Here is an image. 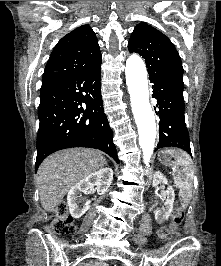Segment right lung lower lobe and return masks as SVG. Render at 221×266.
Returning a JSON list of instances; mask_svg holds the SVG:
<instances>
[{"mask_svg":"<svg viewBox=\"0 0 221 266\" xmlns=\"http://www.w3.org/2000/svg\"><path fill=\"white\" fill-rule=\"evenodd\" d=\"M100 77L101 63L40 94L36 170L48 155L71 147L99 149L119 163Z\"/></svg>","mask_w":221,"mask_h":266,"instance_id":"98d812e1","label":"right lung lower lobe"}]
</instances>
